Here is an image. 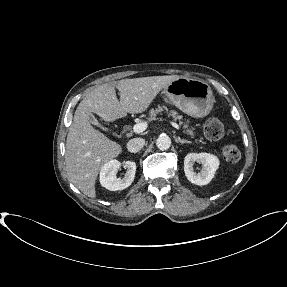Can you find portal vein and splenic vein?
<instances>
[{"instance_id": "1", "label": "portal vein and splenic vein", "mask_w": 287, "mask_h": 287, "mask_svg": "<svg viewBox=\"0 0 287 287\" xmlns=\"http://www.w3.org/2000/svg\"><path fill=\"white\" fill-rule=\"evenodd\" d=\"M170 124L174 128L179 129V125L177 123L171 121ZM147 127H148V122L146 121L139 122L133 126V132L142 133L147 129Z\"/></svg>"}]
</instances>
